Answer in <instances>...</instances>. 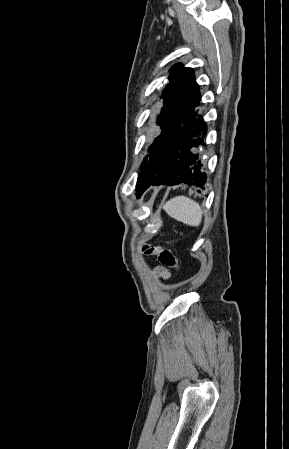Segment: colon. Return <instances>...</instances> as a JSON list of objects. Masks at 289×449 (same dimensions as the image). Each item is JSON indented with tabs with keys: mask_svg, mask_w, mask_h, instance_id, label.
<instances>
[{
	"mask_svg": "<svg viewBox=\"0 0 289 449\" xmlns=\"http://www.w3.org/2000/svg\"><path fill=\"white\" fill-rule=\"evenodd\" d=\"M143 251L146 255H157L162 265L176 270L179 269V263L170 250L159 246H144Z\"/></svg>",
	"mask_w": 289,
	"mask_h": 449,
	"instance_id": "obj_1",
	"label": "colon"
}]
</instances>
